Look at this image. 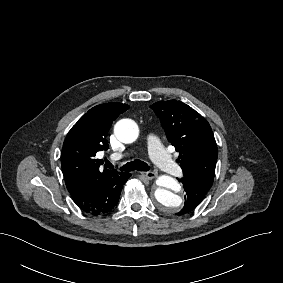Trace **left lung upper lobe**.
<instances>
[{"label":"left lung upper lobe","mask_w":283,"mask_h":283,"mask_svg":"<svg viewBox=\"0 0 283 283\" xmlns=\"http://www.w3.org/2000/svg\"><path fill=\"white\" fill-rule=\"evenodd\" d=\"M153 110L161 120L168 141L180 152L184 176H197L213 182L218 150L207 120L176 100L156 102Z\"/></svg>","instance_id":"5c2ea615"}]
</instances>
